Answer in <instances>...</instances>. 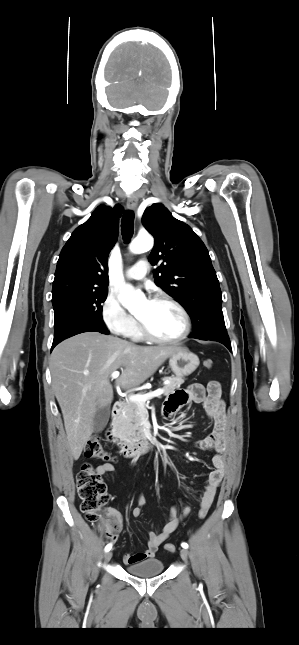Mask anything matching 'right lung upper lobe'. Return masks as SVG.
Instances as JSON below:
<instances>
[{"instance_id": "obj_1", "label": "right lung upper lobe", "mask_w": 299, "mask_h": 645, "mask_svg": "<svg viewBox=\"0 0 299 645\" xmlns=\"http://www.w3.org/2000/svg\"><path fill=\"white\" fill-rule=\"evenodd\" d=\"M123 208L100 205L63 247L53 282L52 298L67 291L107 290V259L118 236Z\"/></svg>"}]
</instances>
